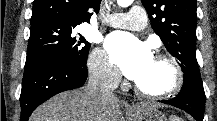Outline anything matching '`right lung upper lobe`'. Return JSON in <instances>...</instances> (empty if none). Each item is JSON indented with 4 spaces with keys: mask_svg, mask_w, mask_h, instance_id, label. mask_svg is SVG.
Wrapping results in <instances>:
<instances>
[{
    "mask_svg": "<svg viewBox=\"0 0 217 121\" xmlns=\"http://www.w3.org/2000/svg\"><path fill=\"white\" fill-rule=\"evenodd\" d=\"M101 0H34L31 24L52 20L66 24L90 23L93 8L98 12Z\"/></svg>",
    "mask_w": 217,
    "mask_h": 121,
    "instance_id": "right-lung-upper-lobe-1",
    "label": "right lung upper lobe"
}]
</instances>
